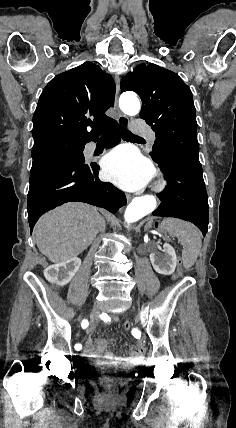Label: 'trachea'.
<instances>
[{"instance_id":"obj_1","label":"trachea","mask_w":236,"mask_h":428,"mask_svg":"<svg viewBox=\"0 0 236 428\" xmlns=\"http://www.w3.org/2000/svg\"><path fill=\"white\" fill-rule=\"evenodd\" d=\"M120 135L124 140H130V139H137V138H141L138 137L137 135H134L133 133H131L129 130H127V128H125L124 126L120 127ZM102 140H106L107 136H102L101 137Z\"/></svg>"}]
</instances>
